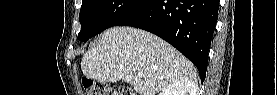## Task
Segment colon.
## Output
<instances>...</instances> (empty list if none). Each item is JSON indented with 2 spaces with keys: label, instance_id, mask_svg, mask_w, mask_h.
<instances>
[{
  "label": "colon",
  "instance_id": "5ec220e1",
  "mask_svg": "<svg viewBox=\"0 0 277 95\" xmlns=\"http://www.w3.org/2000/svg\"><path fill=\"white\" fill-rule=\"evenodd\" d=\"M83 86L89 95H136L130 86L113 88L101 81L85 79Z\"/></svg>",
  "mask_w": 277,
  "mask_h": 95
}]
</instances>
